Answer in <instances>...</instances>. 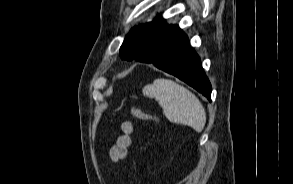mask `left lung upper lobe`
I'll return each instance as SVG.
<instances>
[{
    "label": "left lung upper lobe",
    "mask_w": 293,
    "mask_h": 184,
    "mask_svg": "<svg viewBox=\"0 0 293 184\" xmlns=\"http://www.w3.org/2000/svg\"><path fill=\"white\" fill-rule=\"evenodd\" d=\"M165 20L158 15L152 22L133 27L126 35L120 48V57L125 60L145 61L151 57L148 43L166 26Z\"/></svg>",
    "instance_id": "left-lung-upper-lobe-1"
}]
</instances>
